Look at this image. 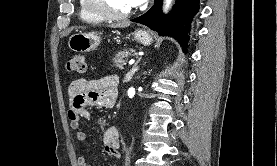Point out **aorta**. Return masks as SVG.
I'll return each instance as SVG.
<instances>
[{
  "instance_id": "762f6f07",
  "label": "aorta",
  "mask_w": 277,
  "mask_h": 166,
  "mask_svg": "<svg viewBox=\"0 0 277 166\" xmlns=\"http://www.w3.org/2000/svg\"><path fill=\"white\" fill-rule=\"evenodd\" d=\"M172 0H165L164 10L167 11L171 5Z\"/></svg>"
}]
</instances>
